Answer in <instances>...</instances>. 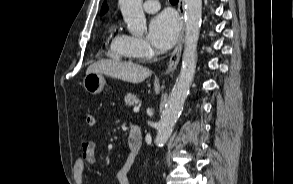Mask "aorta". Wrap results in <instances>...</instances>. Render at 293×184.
I'll list each match as a JSON object with an SVG mask.
<instances>
[{"mask_svg": "<svg viewBox=\"0 0 293 184\" xmlns=\"http://www.w3.org/2000/svg\"><path fill=\"white\" fill-rule=\"evenodd\" d=\"M185 8V45L180 74L173 87L161 120L157 125L155 143L168 141L183 110L194 78L197 58V43L202 22V0H183ZM119 6L128 30L133 35H142L147 30L142 0H119Z\"/></svg>", "mask_w": 293, "mask_h": 184, "instance_id": "obj_1", "label": "aorta"}]
</instances>
